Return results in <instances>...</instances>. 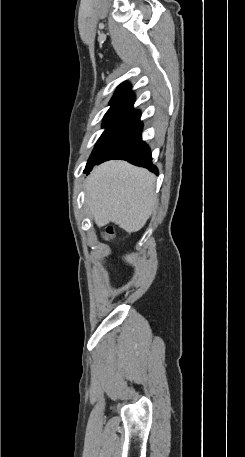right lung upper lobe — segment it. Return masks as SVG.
Listing matches in <instances>:
<instances>
[{"instance_id": "obj_1", "label": "right lung upper lobe", "mask_w": 245, "mask_h": 457, "mask_svg": "<svg viewBox=\"0 0 245 457\" xmlns=\"http://www.w3.org/2000/svg\"><path fill=\"white\" fill-rule=\"evenodd\" d=\"M134 101L135 97L131 92V85L122 83L110 101L111 107L108 112H131Z\"/></svg>"}]
</instances>
